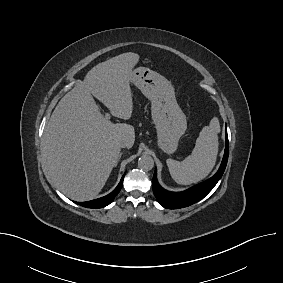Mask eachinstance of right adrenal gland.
<instances>
[{"mask_svg":"<svg viewBox=\"0 0 283 283\" xmlns=\"http://www.w3.org/2000/svg\"><path fill=\"white\" fill-rule=\"evenodd\" d=\"M121 155H122V153H120V156H119V158H118V160H117V162H116V164H115V167L117 166L118 161H119V159H120Z\"/></svg>","mask_w":283,"mask_h":283,"instance_id":"2a0ac1e0","label":"right adrenal gland"}]
</instances>
